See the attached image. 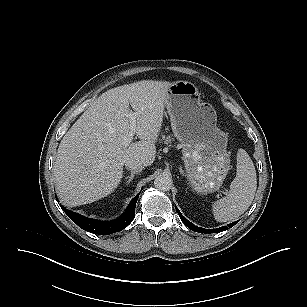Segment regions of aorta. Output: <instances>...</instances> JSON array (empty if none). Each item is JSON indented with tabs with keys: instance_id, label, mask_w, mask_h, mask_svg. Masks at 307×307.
<instances>
[{
	"instance_id": "1",
	"label": "aorta",
	"mask_w": 307,
	"mask_h": 307,
	"mask_svg": "<svg viewBox=\"0 0 307 307\" xmlns=\"http://www.w3.org/2000/svg\"><path fill=\"white\" fill-rule=\"evenodd\" d=\"M154 186L160 191H168L172 186V178L170 175L161 173L154 180Z\"/></svg>"
}]
</instances>
